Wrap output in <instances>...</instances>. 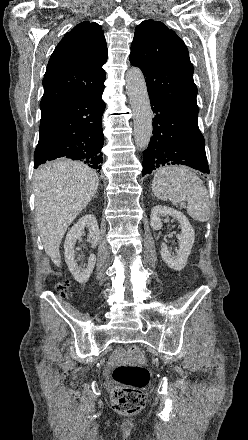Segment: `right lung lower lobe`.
<instances>
[{"label":"right lung lower lobe","mask_w":248,"mask_h":440,"mask_svg":"<svg viewBox=\"0 0 248 440\" xmlns=\"http://www.w3.org/2000/svg\"><path fill=\"white\" fill-rule=\"evenodd\" d=\"M103 90L80 95L41 111L34 168L60 157L81 160L100 171L104 143Z\"/></svg>","instance_id":"right-lung-lower-lobe-1"}]
</instances>
